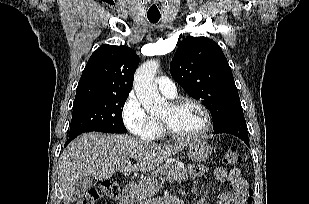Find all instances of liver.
<instances>
[{"instance_id":"6515ba94","label":"liver","mask_w":309,"mask_h":204,"mask_svg":"<svg viewBox=\"0 0 309 204\" xmlns=\"http://www.w3.org/2000/svg\"><path fill=\"white\" fill-rule=\"evenodd\" d=\"M189 142L158 145L128 135L83 134L72 141L60 156L58 175L64 203L71 201L80 177L106 180L121 170L148 172L177 154ZM129 159H135L137 164L131 165Z\"/></svg>"}]
</instances>
